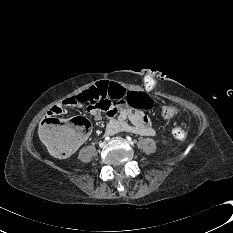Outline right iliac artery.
I'll return each mask as SVG.
<instances>
[{"mask_svg":"<svg viewBox=\"0 0 233 233\" xmlns=\"http://www.w3.org/2000/svg\"><path fill=\"white\" fill-rule=\"evenodd\" d=\"M109 139H110V137H109V136H105V140H107V141H108Z\"/></svg>","mask_w":233,"mask_h":233,"instance_id":"right-iliac-artery-1","label":"right iliac artery"}]
</instances>
